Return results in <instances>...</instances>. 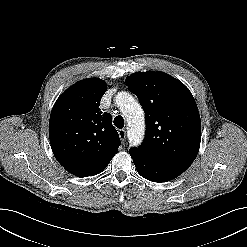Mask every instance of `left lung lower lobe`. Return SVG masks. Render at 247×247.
Wrapping results in <instances>:
<instances>
[{
    "mask_svg": "<svg viewBox=\"0 0 247 247\" xmlns=\"http://www.w3.org/2000/svg\"><path fill=\"white\" fill-rule=\"evenodd\" d=\"M129 153L138 173L149 181H170L188 168L184 165L160 162L134 151H129Z\"/></svg>",
    "mask_w": 247,
    "mask_h": 247,
    "instance_id": "obj_1",
    "label": "left lung lower lobe"
}]
</instances>
